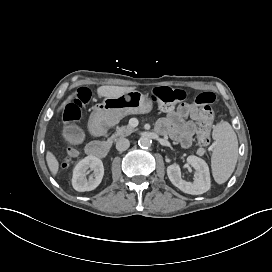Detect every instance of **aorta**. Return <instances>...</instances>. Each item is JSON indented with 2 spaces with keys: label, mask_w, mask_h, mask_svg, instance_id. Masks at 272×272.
I'll use <instances>...</instances> for the list:
<instances>
[{
  "label": "aorta",
  "mask_w": 272,
  "mask_h": 272,
  "mask_svg": "<svg viewBox=\"0 0 272 272\" xmlns=\"http://www.w3.org/2000/svg\"><path fill=\"white\" fill-rule=\"evenodd\" d=\"M138 144L140 147L148 148L151 146V140L148 137H140Z\"/></svg>",
  "instance_id": "762f6f07"
}]
</instances>
